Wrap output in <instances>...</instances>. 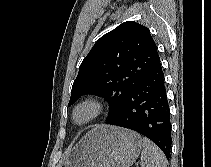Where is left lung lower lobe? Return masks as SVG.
Listing matches in <instances>:
<instances>
[{"label":"left lung lower lobe","instance_id":"left-lung-lower-lobe-1","mask_svg":"<svg viewBox=\"0 0 211 167\" xmlns=\"http://www.w3.org/2000/svg\"><path fill=\"white\" fill-rule=\"evenodd\" d=\"M107 124L125 127L152 140L170 158V109L160 58L124 100L119 113Z\"/></svg>","mask_w":211,"mask_h":167}]
</instances>
